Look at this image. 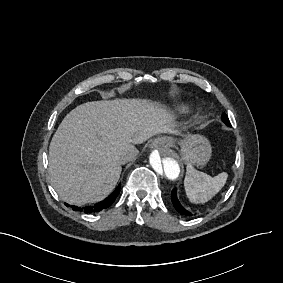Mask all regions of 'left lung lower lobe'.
I'll use <instances>...</instances> for the list:
<instances>
[{"label":"left lung lower lobe","mask_w":283,"mask_h":283,"mask_svg":"<svg viewBox=\"0 0 283 283\" xmlns=\"http://www.w3.org/2000/svg\"><path fill=\"white\" fill-rule=\"evenodd\" d=\"M222 121L227 125V126H230L231 127V123L227 117V115L224 113L222 115ZM171 199H172V203L175 207V209L181 213V214H184V215H190V212H188L187 210H185L181 204L179 203L178 199H177V196H176V189H173L172 192H171Z\"/></svg>","instance_id":"obj_1"}]
</instances>
